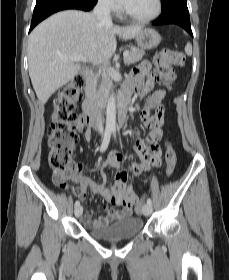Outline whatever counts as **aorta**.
Masks as SVG:
<instances>
[{"mask_svg":"<svg viewBox=\"0 0 229 280\" xmlns=\"http://www.w3.org/2000/svg\"><path fill=\"white\" fill-rule=\"evenodd\" d=\"M106 128L111 131L116 130V100L110 96L106 109Z\"/></svg>","mask_w":229,"mask_h":280,"instance_id":"aorta-1","label":"aorta"}]
</instances>
